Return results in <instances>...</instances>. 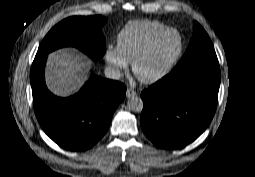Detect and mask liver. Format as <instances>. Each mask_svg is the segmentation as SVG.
Instances as JSON below:
<instances>
[{
  "mask_svg": "<svg viewBox=\"0 0 255 177\" xmlns=\"http://www.w3.org/2000/svg\"><path fill=\"white\" fill-rule=\"evenodd\" d=\"M89 61L79 52L60 49L49 55L46 83L51 92L66 97L78 91L88 79Z\"/></svg>",
  "mask_w": 255,
  "mask_h": 177,
  "instance_id": "1",
  "label": "liver"
}]
</instances>
